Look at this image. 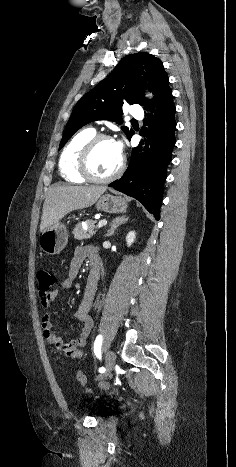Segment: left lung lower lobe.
Listing matches in <instances>:
<instances>
[{
    "label": "left lung lower lobe",
    "instance_id": "left-lung-lower-lobe-1",
    "mask_svg": "<svg viewBox=\"0 0 236 467\" xmlns=\"http://www.w3.org/2000/svg\"><path fill=\"white\" fill-rule=\"evenodd\" d=\"M155 105V117L144 119V123L150 127L145 151L139 153L143 142L133 148L127 170L109 186L136 198L159 220L166 169L175 145V106L170 88L164 91Z\"/></svg>",
    "mask_w": 236,
    "mask_h": 467
}]
</instances>
